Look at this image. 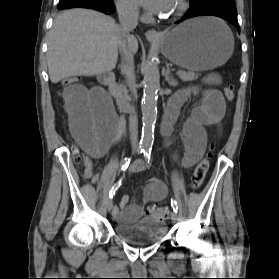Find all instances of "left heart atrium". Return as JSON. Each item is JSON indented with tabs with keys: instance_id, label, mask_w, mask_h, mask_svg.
I'll list each match as a JSON object with an SVG mask.
<instances>
[{
	"instance_id": "obj_1",
	"label": "left heart atrium",
	"mask_w": 279,
	"mask_h": 279,
	"mask_svg": "<svg viewBox=\"0 0 279 279\" xmlns=\"http://www.w3.org/2000/svg\"><path fill=\"white\" fill-rule=\"evenodd\" d=\"M170 0H138V2L148 11L154 14H162L167 8Z\"/></svg>"
}]
</instances>
